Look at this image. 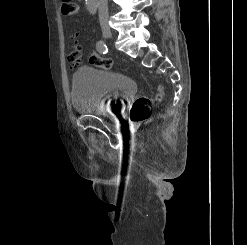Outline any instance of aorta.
<instances>
[{
	"label": "aorta",
	"mask_w": 247,
	"mask_h": 245,
	"mask_svg": "<svg viewBox=\"0 0 247 245\" xmlns=\"http://www.w3.org/2000/svg\"><path fill=\"white\" fill-rule=\"evenodd\" d=\"M86 1V5L88 7V10L91 12V13H94L95 10H96V1L97 0H85Z\"/></svg>",
	"instance_id": "aorta-1"
}]
</instances>
